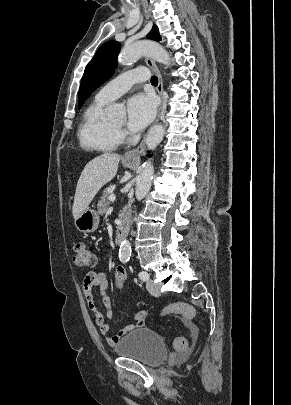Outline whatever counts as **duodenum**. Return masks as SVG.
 <instances>
[{
    "label": "duodenum",
    "instance_id": "duodenum-1",
    "mask_svg": "<svg viewBox=\"0 0 291 405\" xmlns=\"http://www.w3.org/2000/svg\"><path fill=\"white\" fill-rule=\"evenodd\" d=\"M124 234V223L116 231V243L119 244Z\"/></svg>",
    "mask_w": 291,
    "mask_h": 405
}]
</instances>
